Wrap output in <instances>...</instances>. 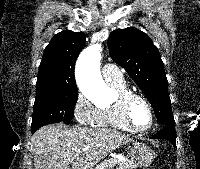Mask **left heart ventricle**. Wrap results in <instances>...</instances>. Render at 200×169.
<instances>
[{
    "instance_id": "obj_1",
    "label": "left heart ventricle",
    "mask_w": 200,
    "mask_h": 169,
    "mask_svg": "<svg viewBox=\"0 0 200 169\" xmlns=\"http://www.w3.org/2000/svg\"><path fill=\"white\" fill-rule=\"evenodd\" d=\"M130 118L132 123L139 128L146 127L150 122V113L145 103L139 99L130 105Z\"/></svg>"
}]
</instances>
